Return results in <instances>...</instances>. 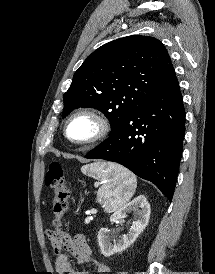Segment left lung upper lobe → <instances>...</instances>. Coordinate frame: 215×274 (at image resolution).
<instances>
[{"instance_id":"obj_1","label":"left lung upper lobe","mask_w":215,"mask_h":274,"mask_svg":"<svg viewBox=\"0 0 215 274\" xmlns=\"http://www.w3.org/2000/svg\"><path fill=\"white\" fill-rule=\"evenodd\" d=\"M175 77L164 45L149 36L131 35L104 44L74 73L64 93L65 118L92 107L111 122V134L130 112Z\"/></svg>"}]
</instances>
